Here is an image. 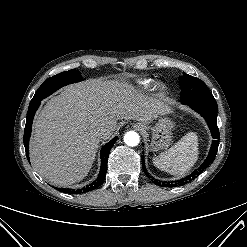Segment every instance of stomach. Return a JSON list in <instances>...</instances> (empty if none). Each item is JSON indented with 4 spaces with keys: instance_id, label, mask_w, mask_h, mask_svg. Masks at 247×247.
<instances>
[{
    "instance_id": "1",
    "label": "stomach",
    "mask_w": 247,
    "mask_h": 247,
    "mask_svg": "<svg viewBox=\"0 0 247 247\" xmlns=\"http://www.w3.org/2000/svg\"><path fill=\"white\" fill-rule=\"evenodd\" d=\"M136 126H145V124L137 123ZM174 123L168 118H160L158 123L152 127V137L150 147L152 151L166 149L172 140V130Z\"/></svg>"
}]
</instances>
